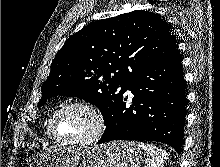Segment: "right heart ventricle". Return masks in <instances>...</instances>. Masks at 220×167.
Returning <instances> with one entry per match:
<instances>
[{"instance_id":"right-heart-ventricle-1","label":"right heart ventricle","mask_w":220,"mask_h":167,"mask_svg":"<svg viewBox=\"0 0 220 167\" xmlns=\"http://www.w3.org/2000/svg\"><path fill=\"white\" fill-rule=\"evenodd\" d=\"M46 133H47L48 136H50L49 131H48V125H47V129H46Z\"/></svg>"}]
</instances>
